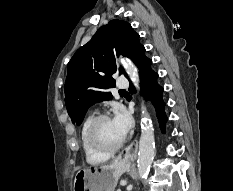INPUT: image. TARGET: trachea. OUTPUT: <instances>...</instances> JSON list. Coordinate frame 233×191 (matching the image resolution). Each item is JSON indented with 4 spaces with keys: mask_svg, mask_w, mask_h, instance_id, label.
<instances>
[{
    "mask_svg": "<svg viewBox=\"0 0 233 191\" xmlns=\"http://www.w3.org/2000/svg\"><path fill=\"white\" fill-rule=\"evenodd\" d=\"M120 92H125V90H120Z\"/></svg>",
    "mask_w": 233,
    "mask_h": 191,
    "instance_id": "trachea-1",
    "label": "trachea"
}]
</instances>
